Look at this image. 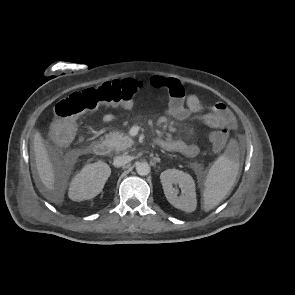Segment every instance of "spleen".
Returning <instances> with one entry per match:
<instances>
[{
    "mask_svg": "<svg viewBox=\"0 0 295 295\" xmlns=\"http://www.w3.org/2000/svg\"><path fill=\"white\" fill-rule=\"evenodd\" d=\"M238 171L239 161L234 156V146L231 142L207 173L202 206L205 211L213 209L224 199L233 186Z\"/></svg>",
    "mask_w": 295,
    "mask_h": 295,
    "instance_id": "1",
    "label": "spleen"
}]
</instances>
